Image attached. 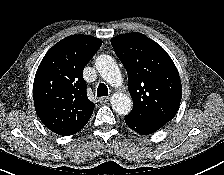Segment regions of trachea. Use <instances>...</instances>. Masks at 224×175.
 Listing matches in <instances>:
<instances>
[{
	"instance_id": "1",
	"label": "trachea",
	"mask_w": 224,
	"mask_h": 175,
	"mask_svg": "<svg viewBox=\"0 0 224 175\" xmlns=\"http://www.w3.org/2000/svg\"><path fill=\"white\" fill-rule=\"evenodd\" d=\"M108 96V88L104 83H100L97 88V97Z\"/></svg>"
}]
</instances>
